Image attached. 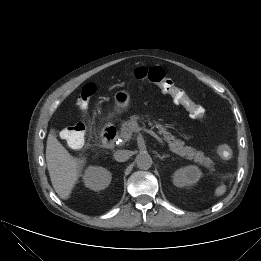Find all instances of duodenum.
Listing matches in <instances>:
<instances>
[{
    "mask_svg": "<svg viewBox=\"0 0 261 261\" xmlns=\"http://www.w3.org/2000/svg\"><path fill=\"white\" fill-rule=\"evenodd\" d=\"M117 130L114 126H106L101 133V141L104 147L111 148L115 144Z\"/></svg>",
    "mask_w": 261,
    "mask_h": 261,
    "instance_id": "duodenum-1",
    "label": "duodenum"
}]
</instances>
